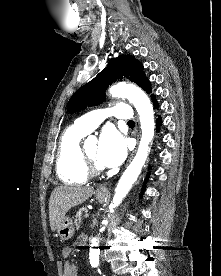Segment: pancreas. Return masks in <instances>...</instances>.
I'll return each mask as SVG.
<instances>
[{"instance_id": "obj_1", "label": "pancreas", "mask_w": 221, "mask_h": 276, "mask_svg": "<svg viewBox=\"0 0 221 276\" xmlns=\"http://www.w3.org/2000/svg\"><path fill=\"white\" fill-rule=\"evenodd\" d=\"M87 212V209L85 207L81 208L75 215V226H76V229L78 230L82 224V214L83 213H86Z\"/></svg>"}]
</instances>
